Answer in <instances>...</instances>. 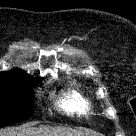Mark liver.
<instances>
[{"label":"liver","mask_w":136,"mask_h":136,"mask_svg":"<svg viewBox=\"0 0 136 136\" xmlns=\"http://www.w3.org/2000/svg\"><path fill=\"white\" fill-rule=\"evenodd\" d=\"M0 136H89L87 133L76 131L68 127H27L19 132L8 130Z\"/></svg>","instance_id":"6515ba94"}]
</instances>
